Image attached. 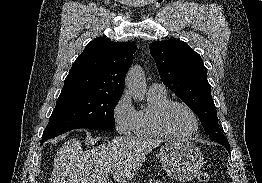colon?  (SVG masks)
I'll use <instances>...</instances> for the list:
<instances>
[{"instance_id":"5ec220e1","label":"colon","mask_w":262,"mask_h":183,"mask_svg":"<svg viewBox=\"0 0 262 183\" xmlns=\"http://www.w3.org/2000/svg\"><path fill=\"white\" fill-rule=\"evenodd\" d=\"M199 183H209L211 181V173L209 171H202L198 175Z\"/></svg>"}]
</instances>
